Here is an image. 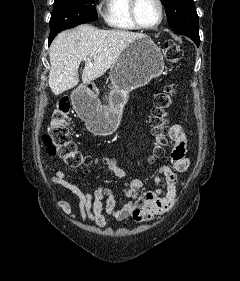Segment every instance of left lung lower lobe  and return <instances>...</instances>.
<instances>
[{"label":"left lung lower lobe","mask_w":240,"mask_h":281,"mask_svg":"<svg viewBox=\"0 0 240 281\" xmlns=\"http://www.w3.org/2000/svg\"><path fill=\"white\" fill-rule=\"evenodd\" d=\"M191 39L196 43L197 46H199V43H200V37H199V35H197V36H192Z\"/></svg>","instance_id":"1"}]
</instances>
